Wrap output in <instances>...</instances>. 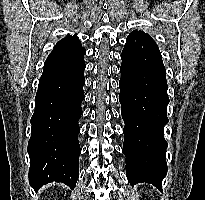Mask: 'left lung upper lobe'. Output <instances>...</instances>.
I'll return each instance as SVG.
<instances>
[{"label": "left lung upper lobe", "mask_w": 205, "mask_h": 200, "mask_svg": "<svg viewBox=\"0 0 205 200\" xmlns=\"http://www.w3.org/2000/svg\"><path fill=\"white\" fill-rule=\"evenodd\" d=\"M134 36H149V35L144 33L143 31L135 30L132 33H130L128 37H134Z\"/></svg>", "instance_id": "1"}]
</instances>
